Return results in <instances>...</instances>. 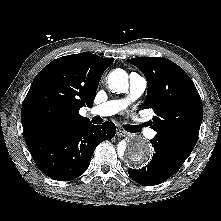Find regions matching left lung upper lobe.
<instances>
[{"mask_svg": "<svg viewBox=\"0 0 221 221\" xmlns=\"http://www.w3.org/2000/svg\"><path fill=\"white\" fill-rule=\"evenodd\" d=\"M138 67L148 83L143 109L156 114L151 128L155 137L164 138L193 150L203 118L200 95L186 72L172 61L160 57L127 60Z\"/></svg>", "mask_w": 221, "mask_h": 221, "instance_id": "1", "label": "left lung upper lobe"}]
</instances>
